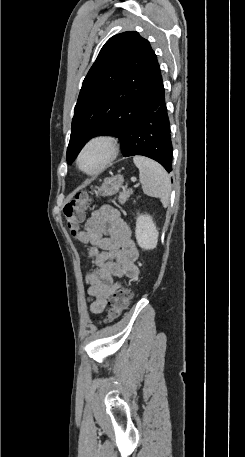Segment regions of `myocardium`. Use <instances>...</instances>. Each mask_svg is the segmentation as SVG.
Returning a JSON list of instances; mask_svg holds the SVG:
<instances>
[{
  "label": "myocardium",
  "instance_id": "obj_1",
  "mask_svg": "<svg viewBox=\"0 0 245 457\" xmlns=\"http://www.w3.org/2000/svg\"><path fill=\"white\" fill-rule=\"evenodd\" d=\"M93 150H100L104 153V158L101 164L93 169L87 170L83 167V159L85 155ZM117 154V141L109 136H97L89 139L77 158V164L80 170L88 175H95L104 170L115 158Z\"/></svg>",
  "mask_w": 245,
  "mask_h": 457
}]
</instances>
